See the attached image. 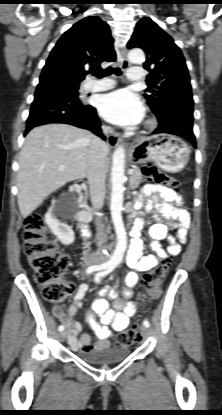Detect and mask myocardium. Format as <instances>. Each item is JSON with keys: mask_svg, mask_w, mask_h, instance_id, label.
<instances>
[{"mask_svg": "<svg viewBox=\"0 0 222 415\" xmlns=\"http://www.w3.org/2000/svg\"><path fill=\"white\" fill-rule=\"evenodd\" d=\"M154 124H155V122H154V120H152V119H146L145 120V122H144V126L146 127V128H151V127H153L154 126Z\"/></svg>", "mask_w": 222, "mask_h": 415, "instance_id": "myocardium-1", "label": "myocardium"}]
</instances>
